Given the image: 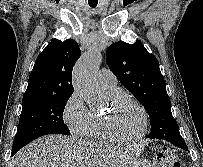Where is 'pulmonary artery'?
Returning a JSON list of instances; mask_svg holds the SVG:
<instances>
[{"label":"pulmonary artery","instance_id":"e3ab8cb5","mask_svg":"<svg viewBox=\"0 0 203 167\" xmlns=\"http://www.w3.org/2000/svg\"><path fill=\"white\" fill-rule=\"evenodd\" d=\"M97 82L103 89H114L117 85V78L108 69H101L97 75Z\"/></svg>","mask_w":203,"mask_h":167}]
</instances>
